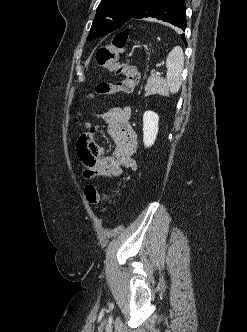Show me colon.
Wrapping results in <instances>:
<instances>
[{
    "mask_svg": "<svg viewBox=\"0 0 247 332\" xmlns=\"http://www.w3.org/2000/svg\"><path fill=\"white\" fill-rule=\"evenodd\" d=\"M129 36V31L125 30L116 34L111 43L97 49L95 59L97 64L109 70L119 79L115 82H101L94 88L96 95H115L118 93H129L139 81V73L135 66L121 62L118 54L124 48ZM86 199L91 204H98L107 200V195L102 193L94 185H87L84 189Z\"/></svg>",
    "mask_w": 247,
    "mask_h": 332,
    "instance_id": "1",
    "label": "colon"
}]
</instances>
